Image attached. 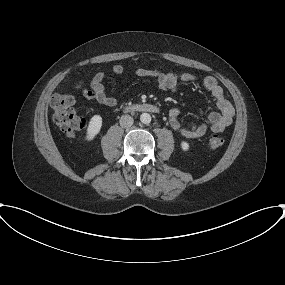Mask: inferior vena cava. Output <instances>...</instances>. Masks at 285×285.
<instances>
[{
	"label": "inferior vena cava",
	"instance_id": "inferior-vena-cava-1",
	"mask_svg": "<svg viewBox=\"0 0 285 285\" xmlns=\"http://www.w3.org/2000/svg\"><path fill=\"white\" fill-rule=\"evenodd\" d=\"M119 122L122 128H130L133 125L134 120L130 115H123Z\"/></svg>",
	"mask_w": 285,
	"mask_h": 285
}]
</instances>
